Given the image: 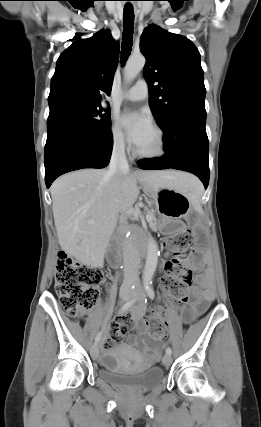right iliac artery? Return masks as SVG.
<instances>
[{"mask_svg": "<svg viewBox=\"0 0 261 427\" xmlns=\"http://www.w3.org/2000/svg\"><path fill=\"white\" fill-rule=\"evenodd\" d=\"M135 300H130L128 302H126L120 309L121 312L127 310L128 308H130L133 304H134ZM101 339V332H99L95 338V343H98Z\"/></svg>", "mask_w": 261, "mask_h": 427, "instance_id": "right-iliac-artery-1", "label": "right iliac artery"}]
</instances>
